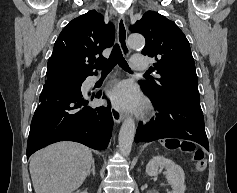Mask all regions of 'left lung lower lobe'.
Instances as JSON below:
<instances>
[{
  "mask_svg": "<svg viewBox=\"0 0 237 193\" xmlns=\"http://www.w3.org/2000/svg\"><path fill=\"white\" fill-rule=\"evenodd\" d=\"M142 90L151 99L159 113L156 114L155 120L152 119L149 124L144 126L140 123L138 125L135 142L180 138L197 142L209 150L200 98L159 99L148 94L143 88Z\"/></svg>",
  "mask_w": 237,
  "mask_h": 193,
  "instance_id": "obj_1",
  "label": "left lung lower lobe"
}]
</instances>
